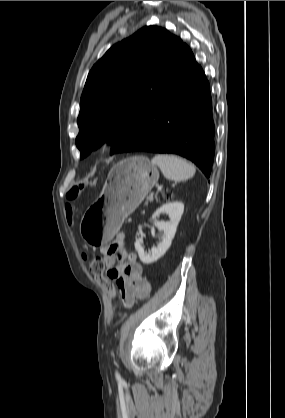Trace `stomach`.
<instances>
[{
	"label": "stomach",
	"instance_id": "0dacf381",
	"mask_svg": "<svg viewBox=\"0 0 285 418\" xmlns=\"http://www.w3.org/2000/svg\"><path fill=\"white\" fill-rule=\"evenodd\" d=\"M158 179L157 167L145 156H132L114 165L100 197L81 220L84 240L94 246L109 242Z\"/></svg>",
	"mask_w": 285,
	"mask_h": 418
}]
</instances>
